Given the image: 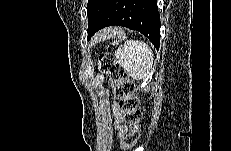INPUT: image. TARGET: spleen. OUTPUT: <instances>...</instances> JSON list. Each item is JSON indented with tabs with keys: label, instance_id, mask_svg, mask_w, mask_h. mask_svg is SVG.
<instances>
[{
	"label": "spleen",
	"instance_id": "1",
	"mask_svg": "<svg viewBox=\"0 0 231 151\" xmlns=\"http://www.w3.org/2000/svg\"><path fill=\"white\" fill-rule=\"evenodd\" d=\"M121 66L135 80L146 78L153 65L151 48L139 40H128L122 48L115 51Z\"/></svg>",
	"mask_w": 231,
	"mask_h": 151
}]
</instances>
